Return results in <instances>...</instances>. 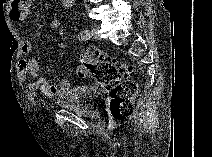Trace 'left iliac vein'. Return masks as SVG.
Segmentation results:
<instances>
[{
  "mask_svg": "<svg viewBox=\"0 0 212 157\" xmlns=\"http://www.w3.org/2000/svg\"><path fill=\"white\" fill-rule=\"evenodd\" d=\"M90 33L95 39H97V40L100 39V36H99L96 28H92Z\"/></svg>",
  "mask_w": 212,
  "mask_h": 157,
  "instance_id": "left-iliac-vein-1",
  "label": "left iliac vein"
}]
</instances>
